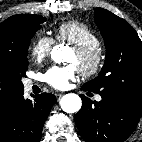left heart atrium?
<instances>
[{
  "mask_svg": "<svg viewBox=\"0 0 142 142\" xmlns=\"http://www.w3.org/2000/svg\"><path fill=\"white\" fill-rule=\"evenodd\" d=\"M76 67L74 65L53 66L44 74V80L57 90H65L76 78Z\"/></svg>",
  "mask_w": 142,
  "mask_h": 142,
  "instance_id": "obj_1",
  "label": "left heart atrium"
}]
</instances>
